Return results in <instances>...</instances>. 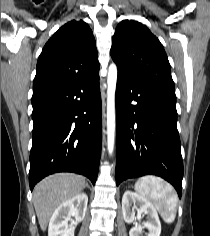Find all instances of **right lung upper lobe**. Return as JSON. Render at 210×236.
<instances>
[{
  "label": "right lung upper lobe",
  "instance_id": "cb5924a9",
  "mask_svg": "<svg viewBox=\"0 0 210 236\" xmlns=\"http://www.w3.org/2000/svg\"><path fill=\"white\" fill-rule=\"evenodd\" d=\"M99 71L95 39L83 21H70L45 44L37 62L33 92L55 91Z\"/></svg>",
  "mask_w": 210,
  "mask_h": 236
}]
</instances>
